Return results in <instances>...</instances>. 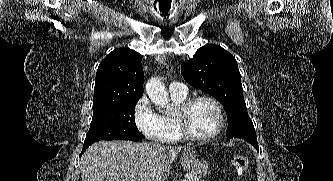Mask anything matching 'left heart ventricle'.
<instances>
[{"mask_svg":"<svg viewBox=\"0 0 333 181\" xmlns=\"http://www.w3.org/2000/svg\"><path fill=\"white\" fill-rule=\"evenodd\" d=\"M188 127L197 136H206L218 126L215 107L206 100L197 101L187 115Z\"/></svg>","mask_w":333,"mask_h":181,"instance_id":"left-heart-ventricle-1","label":"left heart ventricle"}]
</instances>
